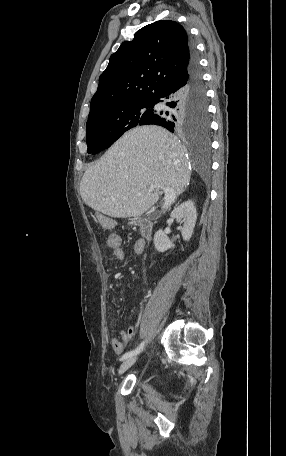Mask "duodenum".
I'll use <instances>...</instances> for the list:
<instances>
[{
	"label": "duodenum",
	"mask_w": 286,
	"mask_h": 456,
	"mask_svg": "<svg viewBox=\"0 0 286 456\" xmlns=\"http://www.w3.org/2000/svg\"><path fill=\"white\" fill-rule=\"evenodd\" d=\"M137 227L140 237L143 242L149 241L152 235L153 225L148 219H141L137 221Z\"/></svg>",
	"instance_id": "1"
}]
</instances>
